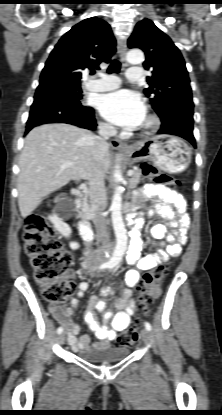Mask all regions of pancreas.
<instances>
[{
    "instance_id": "cf45deb5",
    "label": "pancreas",
    "mask_w": 222,
    "mask_h": 415,
    "mask_svg": "<svg viewBox=\"0 0 222 415\" xmlns=\"http://www.w3.org/2000/svg\"><path fill=\"white\" fill-rule=\"evenodd\" d=\"M141 171L139 169H134L131 178L129 179L130 188L134 189L137 187L141 180Z\"/></svg>"
}]
</instances>
